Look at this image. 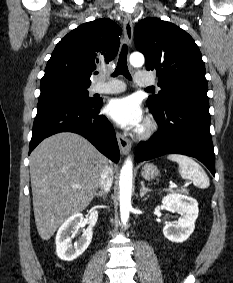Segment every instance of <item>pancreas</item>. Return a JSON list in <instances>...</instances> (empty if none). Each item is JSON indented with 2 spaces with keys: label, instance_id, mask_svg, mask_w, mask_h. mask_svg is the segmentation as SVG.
Segmentation results:
<instances>
[{
  "label": "pancreas",
  "instance_id": "obj_1",
  "mask_svg": "<svg viewBox=\"0 0 233 283\" xmlns=\"http://www.w3.org/2000/svg\"><path fill=\"white\" fill-rule=\"evenodd\" d=\"M171 192H182V193H187V190H177V191H173V190H171Z\"/></svg>",
  "mask_w": 233,
  "mask_h": 283
}]
</instances>
